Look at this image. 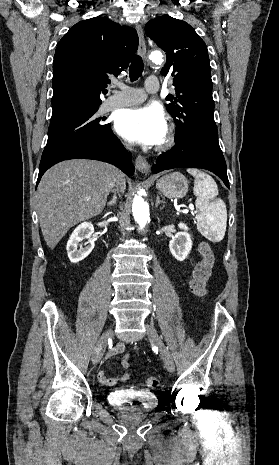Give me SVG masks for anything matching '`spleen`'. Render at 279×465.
I'll return each mask as SVG.
<instances>
[{
	"instance_id": "3e777b00",
	"label": "spleen",
	"mask_w": 279,
	"mask_h": 465,
	"mask_svg": "<svg viewBox=\"0 0 279 465\" xmlns=\"http://www.w3.org/2000/svg\"><path fill=\"white\" fill-rule=\"evenodd\" d=\"M187 171L195 178L193 191L197 197V229L213 241L220 242L225 236L227 210L222 200L215 199L218 195L217 184L210 175L200 170Z\"/></svg>"
}]
</instances>
